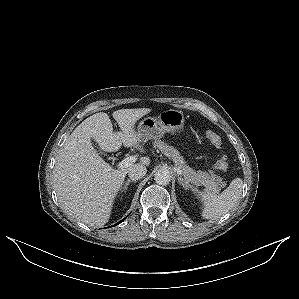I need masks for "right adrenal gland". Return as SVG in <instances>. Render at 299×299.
I'll list each match as a JSON object with an SVG mask.
<instances>
[{
	"mask_svg": "<svg viewBox=\"0 0 299 299\" xmlns=\"http://www.w3.org/2000/svg\"><path fill=\"white\" fill-rule=\"evenodd\" d=\"M134 181H135V180H130V179H128V180L125 182L124 186L121 187V192H124V191L128 188L129 184H130L131 182H134Z\"/></svg>",
	"mask_w": 299,
	"mask_h": 299,
	"instance_id": "2a0ac1e0",
	"label": "right adrenal gland"
}]
</instances>
